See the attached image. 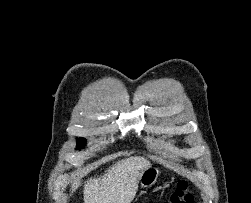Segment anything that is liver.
I'll return each mask as SVG.
<instances>
[{
    "mask_svg": "<svg viewBox=\"0 0 251 203\" xmlns=\"http://www.w3.org/2000/svg\"><path fill=\"white\" fill-rule=\"evenodd\" d=\"M150 166V162L140 156L116 162L104 175L85 182L84 203H131L138 190L142 173ZM79 185V181L72 185V193Z\"/></svg>",
    "mask_w": 251,
    "mask_h": 203,
    "instance_id": "6515ba94",
    "label": "liver"
}]
</instances>
